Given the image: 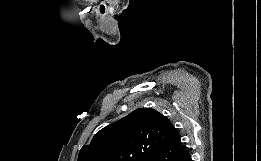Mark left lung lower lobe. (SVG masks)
Here are the masks:
<instances>
[{"label":"left lung lower lobe","mask_w":261,"mask_h":161,"mask_svg":"<svg viewBox=\"0 0 261 161\" xmlns=\"http://www.w3.org/2000/svg\"><path fill=\"white\" fill-rule=\"evenodd\" d=\"M150 161H192V159L177 133L168 145L161 146L153 154Z\"/></svg>","instance_id":"obj_1"}]
</instances>
